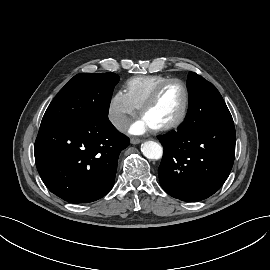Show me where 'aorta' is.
Masks as SVG:
<instances>
[{"label":"aorta","mask_w":270,"mask_h":270,"mask_svg":"<svg viewBox=\"0 0 270 270\" xmlns=\"http://www.w3.org/2000/svg\"><path fill=\"white\" fill-rule=\"evenodd\" d=\"M141 152L148 159L158 160L162 157L163 148L157 142L148 140L141 145Z\"/></svg>","instance_id":"aorta-1"}]
</instances>
